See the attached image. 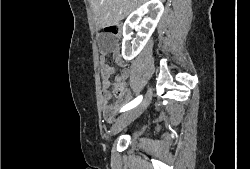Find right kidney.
<instances>
[{
	"label": "right kidney",
	"mask_w": 250,
	"mask_h": 169,
	"mask_svg": "<svg viewBox=\"0 0 250 169\" xmlns=\"http://www.w3.org/2000/svg\"><path fill=\"white\" fill-rule=\"evenodd\" d=\"M149 10H151V16L143 18L142 24L138 26L143 14H146ZM163 12L164 6L161 0H147L140 8L129 14L123 24L122 56L125 60H132L141 52L152 32H154ZM133 28H137L136 38L129 42L131 34H133Z\"/></svg>",
	"instance_id": "1"
}]
</instances>
